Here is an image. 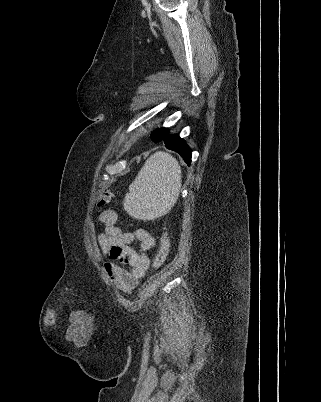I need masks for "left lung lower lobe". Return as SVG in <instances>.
<instances>
[{"label":"left lung lower lobe","mask_w":321,"mask_h":402,"mask_svg":"<svg viewBox=\"0 0 321 402\" xmlns=\"http://www.w3.org/2000/svg\"><path fill=\"white\" fill-rule=\"evenodd\" d=\"M157 136L154 142L163 141L166 148L171 149L184 159V161L190 165L191 163V149L186 142L181 139L177 134H168L167 128L157 129Z\"/></svg>","instance_id":"left-lung-lower-lobe-1"}]
</instances>
